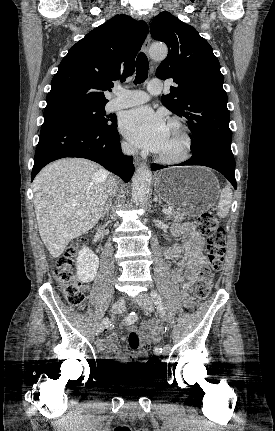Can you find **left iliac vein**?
<instances>
[{
	"mask_svg": "<svg viewBox=\"0 0 275 431\" xmlns=\"http://www.w3.org/2000/svg\"><path fill=\"white\" fill-rule=\"evenodd\" d=\"M136 302L147 311L151 312L153 310V302L151 297L148 294H145V293L140 294L137 297ZM170 350H171V346L167 344L164 346L162 354L168 355Z\"/></svg>",
	"mask_w": 275,
	"mask_h": 431,
	"instance_id": "left-iliac-vein-1",
	"label": "left iliac vein"
}]
</instances>
